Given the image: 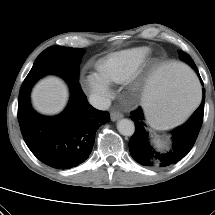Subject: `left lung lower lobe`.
I'll use <instances>...</instances> for the list:
<instances>
[{"mask_svg": "<svg viewBox=\"0 0 215 215\" xmlns=\"http://www.w3.org/2000/svg\"><path fill=\"white\" fill-rule=\"evenodd\" d=\"M200 80L201 77L197 72ZM201 83L203 84L202 80ZM205 89L203 100L189 120L171 132L172 141L165 149H159L150 142L141 107L131 113L135 123V133L129 141V150L133 159L150 168H163L180 161L193 147L199 134L204 115Z\"/></svg>", "mask_w": 215, "mask_h": 215, "instance_id": "obj_1", "label": "left lung lower lobe"}]
</instances>
